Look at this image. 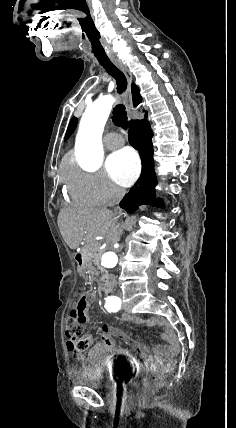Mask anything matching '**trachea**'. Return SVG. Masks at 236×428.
<instances>
[{
    "instance_id": "1",
    "label": "trachea",
    "mask_w": 236,
    "mask_h": 428,
    "mask_svg": "<svg viewBox=\"0 0 236 428\" xmlns=\"http://www.w3.org/2000/svg\"><path fill=\"white\" fill-rule=\"evenodd\" d=\"M83 19L84 22L81 24V29L82 31H85L86 35L88 36L90 49L95 53L94 56L97 63L102 65L106 72L116 80L117 92L119 94L123 93L127 88L126 77L124 73L119 70V68L110 62L111 58L109 52L105 51L104 46H101L102 36L99 33L98 27H96L93 14L85 13ZM113 122L121 128H127L128 118L124 105L118 104L113 109Z\"/></svg>"
}]
</instances>
